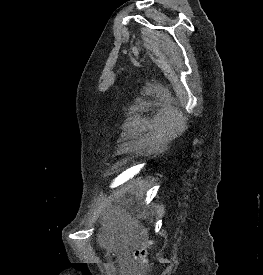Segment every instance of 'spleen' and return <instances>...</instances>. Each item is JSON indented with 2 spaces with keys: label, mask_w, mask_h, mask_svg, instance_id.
<instances>
[{
  "label": "spleen",
  "mask_w": 263,
  "mask_h": 275,
  "mask_svg": "<svg viewBox=\"0 0 263 275\" xmlns=\"http://www.w3.org/2000/svg\"><path fill=\"white\" fill-rule=\"evenodd\" d=\"M134 186H135L136 189H140V187H141V182L135 183ZM141 192H142V191H141Z\"/></svg>",
  "instance_id": "obj_1"
}]
</instances>
